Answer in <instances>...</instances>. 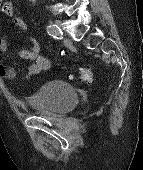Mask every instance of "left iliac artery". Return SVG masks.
<instances>
[{
  "mask_svg": "<svg viewBox=\"0 0 143 170\" xmlns=\"http://www.w3.org/2000/svg\"><path fill=\"white\" fill-rule=\"evenodd\" d=\"M47 32L49 35H51L53 38H56V39H61L63 35V32L61 31V29L55 24L48 25Z\"/></svg>",
  "mask_w": 143,
  "mask_h": 170,
  "instance_id": "left-iliac-artery-1",
  "label": "left iliac artery"
}]
</instances>
